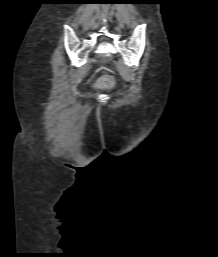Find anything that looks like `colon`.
<instances>
[{
	"mask_svg": "<svg viewBox=\"0 0 218 257\" xmlns=\"http://www.w3.org/2000/svg\"><path fill=\"white\" fill-rule=\"evenodd\" d=\"M100 83H101V85H103V86H110V85H112L113 80H112V78H110V77H105V78H103V79L100 81Z\"/></svg>",
	"mask_w": 218,
	"mask_h": 257,
	"instance_id": "1",
	"label": "colon"
}]
</instances>
